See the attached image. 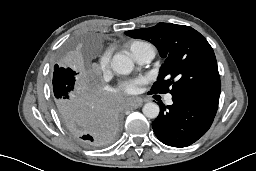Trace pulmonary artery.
<instances>
[{
	"instance_id": "obj_1",
	"label": "pulmonary artery",
	"mask_w": 256,
	"mask_h": 171,
	"mask_svg": "<svg viewBox=\"0 0 256 171\" xmlns=\"http://www.w3.org/2000/svg\"><path fill=\"white\" fill-rule=\"evenodd\" d=\"M154 56H155V49L152 46H149L139 50L136 53L134 59L137 63L141 65H146L152 61ZM171 103H172V96L167 95L166 104H171Z\"/></svg>"
}]
</instances>
